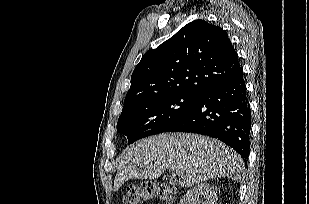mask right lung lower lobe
<instances>
[{
  "label": "right lung lower lobe",
  "mask_w": 309,
  "mask_h": 204,
  "mask_svg": "<svg viewBox=\"0 0 309 204\" xmlns=\"http://www.w3.org/2000/svg\"><path fill=\"white\" fill-rule=\"evenodd\" d=\"M251 111L243 69L202 92L196 103L166 131L192 132L223 141L247 162Z\"/></svg>",
  "instance_id": "right-lung-lower-lobe-1"
}]
</instances>
